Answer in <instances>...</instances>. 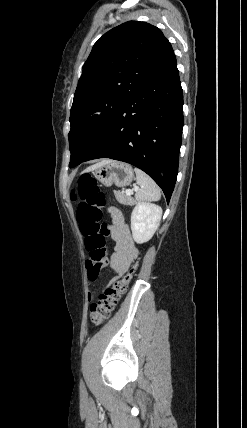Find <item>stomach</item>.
I'll return each instance as SVG.
<instances>
[{
	"instance_id": "stomach-1",
	"label": "stomach",
	"mask_w": 247,
	"mask_h": 428,
	"mask_svg": "<svg viewBox=\"0 0 247 428\" xmlns=\"http://www.w3.org/2000/svg\"><path fill=\"white\" fill-rule=\"evenodd\" d=\"M95 177L106 187L115 184L117 187L128 186L134 179V172L131 165L111 161L94 169Z\"/></svg>"
}]
</instances>
